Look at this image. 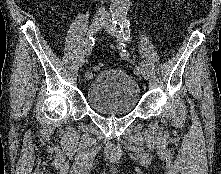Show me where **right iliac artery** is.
I'll return each instance as SVG.
<instances>
[{"label": "right iliac artery", "instance_id": "obj_1", "mask_svg": "<svg viewBox=\"0 0 221 174\" xmlns=\"http://www.w3.org/2000/svg\"><path fill=\"white\" fill-rule=\"evenodd\" d=\"M95 43V38L93 36H90L85 41V50L84 54L89 55L90 51L92 50V47ZM84 77L86 80H90L93 78V72L91 70H86Z\"/></svg>", "mask_w": 221, "mask_h": 174}]
</instances>
